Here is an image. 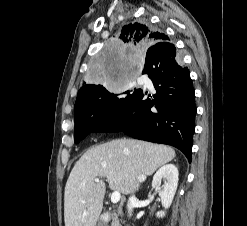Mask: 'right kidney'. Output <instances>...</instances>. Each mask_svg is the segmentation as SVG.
<instances>
[{
  "label": "right kidney",
  "mask_w": 247,
  "mask_h": 226,
  "mask_svg": "<svg viewBox=\"0 0 247 226\" xmlns=\"http://www.w3.org/2000/svg\"><path fill=\"white\" fill-rule=\"evenodd\" d=\"M178 169L173 164L162 166L153 176L152 188L158 192L162 206L168 209L173 201L178 186ZM162 180L164 184L161 185ZM157 217H164L165 211L157 212Z\"/></svg>",
  "instance_id": "obj_1"
}]
</instances>
